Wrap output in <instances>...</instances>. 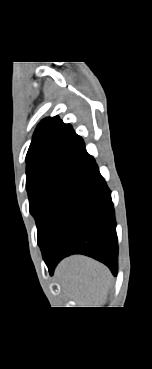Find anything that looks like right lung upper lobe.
<instances>
[{
    "label": "right lung upper lobe",
    "mask_w": 152,
    "mask_h": 369,
    "mask_svg": "<svg viewBox=\"0 0 152 369\" xmlns=\"http://www.w3.org/2000/svg\"><path fill=\"white\" fill-rule=\"evenodd\" d=\"M90 155L70 124L58 116L46 118L37 126L26 156V173L40 167L64 163L82 164Z\"/></svg>",
    "instance_id": "right-lung-upper-lobe-1"
}]
</instances>
